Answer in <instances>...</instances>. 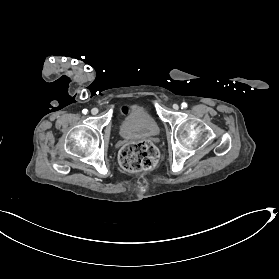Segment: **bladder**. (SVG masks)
<instances>
[{"label": "bladder", "instance_id": "bladder-1", "mask_svg": "<svg viewBox=\"0 0 279 279\" xmlns=\"http://www.w3.org/2000/svg\"><path fill=\"white\" fill-rule=\"evenodd\" d=\"M130 114L122 121L123 131L120 134L126 139H151L160 131V124L156 125L155 118L139 107L129 109Z\"/></svg>", "mask_w": 279, "mask_h": 279}]
</instances>
